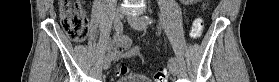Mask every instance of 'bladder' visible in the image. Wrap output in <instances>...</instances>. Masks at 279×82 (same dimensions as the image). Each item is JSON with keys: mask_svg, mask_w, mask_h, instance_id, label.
Returning a JSON list of instances; mask_svg holds the SVG:
<instances>
[{"mask_svg": "<svg viewBox=\"0 0 279 82\" xmlns=\"http://www.w3.org/2000/svg\"><path fill=\"white\" fill-rule=\"evenodd\" d=\"M115 82H153V81L142 74L131 73V74L123 75L121 78H118Z\"/></svg>", "mask_w": 279, "mask_h": 82, "instance_id": "bladder-1", "label": "bladder"}]
</instances>
